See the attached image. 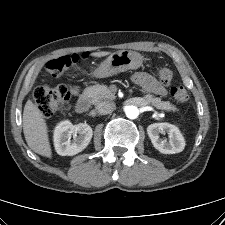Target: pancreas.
Here are the masks:
<instances>
[{
  "instance_id": "obj_1",
  "label": "pancreas",
  "mask_w": 225,
  "mask_h": 225,
  "mask_svg": "<svg viewBox=\"0 0 225 225\" xmlns=\"http://www.w3.org/2000/svg\"><path fill=\"white\" fill-rule=\"evenodd\" d=\"M84 93L95 101L104 98L115 99L114 92L105 85L97 84L94 86L87 87ZM144 99L146 100V102L153 105L157 109L167 111L177 110V108L174 105H172L169 101H162L161 98L155 97L151 94L145 95Z\"/></svg>"
}]
</instances>
